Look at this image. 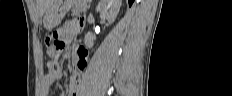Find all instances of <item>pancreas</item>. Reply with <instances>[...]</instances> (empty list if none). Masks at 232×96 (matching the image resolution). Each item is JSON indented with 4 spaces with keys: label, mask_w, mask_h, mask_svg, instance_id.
I'll list each match as a JSON object with an SVG mask.
<instances>
[{
    "label": "pancreas",
    "mask_w": 232,
    "mask_h": 96,
    "mask_svg": "<svg viewBox=\"0 0 232 96\" xmlns=\"http://www.w3.org/2000/svg\"><path fill=\"white\" fill-rule=\"evenodd\" d=\"M88 7L85 5V2H81L78 5L72 7V15H78L80 12H86Z\"/></svg>",
    "instance_id": "cf45deb5"
}]
</instances>
